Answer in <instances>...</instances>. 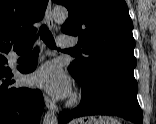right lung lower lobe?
<instances>
[{"label": "right lung lower lobe", "instance_id": "right-lung-lower-lobe-1", "mask_svg": "<svg viewBox=\"0 0 156 124\" xmlns=\"http://www.w3.org/2000/svg\"><path fill=\"white\" fill-rule=\"evenodd\" d=\"M26 47L13 49L22 54ZM9 51L8 48L0 49V124H39L44 106L43 95L38 89L13 87L14 81L6 79L12 75L7 66ZM37 53L38 50L35 49L27 63L19 67L20 72L35 70Z\"/></svg>", "mask_w": 156, "mask_h": 124}]
</instances>
